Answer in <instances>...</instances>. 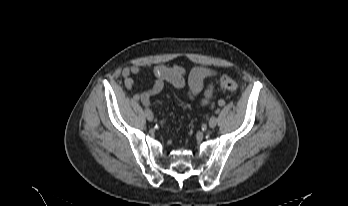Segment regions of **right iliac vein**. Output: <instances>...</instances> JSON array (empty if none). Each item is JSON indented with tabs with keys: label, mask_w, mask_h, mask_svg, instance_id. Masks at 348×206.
Wrapping results in <instances>:
<instances>
[{
	"label": "right iliac vein",
	"mask_w": 348,
	"mask_h": 206,
	"mask_svg": "<svg viewBox=\"0 0 348 206\" xmlns=\"http://www.w3.org/2000/svg\"><path fill=\"white\" fill-rule=\"evenodd\" d=\"M145 116L148 121H152L154 118L152 111L149 109H145Z\"/></svg>",
	"instance_id": "obj_1"
}]
</instances>
